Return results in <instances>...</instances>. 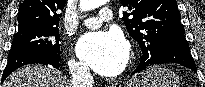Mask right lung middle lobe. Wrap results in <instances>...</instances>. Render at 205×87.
<instances>
[{
  "instance_id": "obj_1",
  "label": "right lung middle lobe",
  "mask_w": 205,
  "mask_h": 87,
  "mask_svg": "<svg viewBox=\"0 0 205 87\" xmlns=\"http://www.w3.org/2000/svg\"><path fill=\"white\" fill-rule=\"evenodd\" d=\"M58 28L19 31L14 37L10 52L33 51L60 60Z\"/></svg>"
}]
</instances>
